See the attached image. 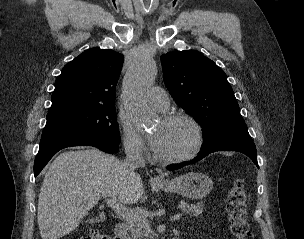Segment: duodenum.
Returning a JSON list of instances; mask_svg holds the SVG:
<instances>
[{
	"mask_svg": "<svg viewBox=\"0 0 304 239\" xmlns=\"http://www.w3.org/2000/svg\"><path fill=\"white\" fill-rule=\"evenodd\" d=\"M115 239H128V225L126 223H119L114 230ZM180 239V238H173Z\"/></svg>",
	"mask_w": 304,
	"mask_h": 239,
	"instance_id": "410a0bca",
	"label": "duodenum"
}]
</instances>
